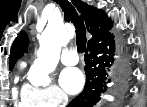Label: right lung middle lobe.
<instances>
[{
    "label": "right lung middle lobe",
    "instance_id": "right-lung-middle-lobe-1",
    "mask_svg": "<svg viewBox=\"0 0 147 107\" xmlns=\"http://www.w3.org/2000/svg\"><path fill=\"white\" fill-rule=\"evenodd\" d=\"M12 69H13V66L10 67V70H12Z\"/></svg>",
    "mask_w": 147,
    "mask_h": 107
}]
</instances>
